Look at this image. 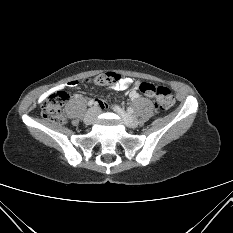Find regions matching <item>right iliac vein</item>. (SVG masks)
Here are the masks:
<instances>
[{"label": "right iliac vein", "mask_w": 233, "mask_h": 233, "mask_svg": "<svg viewBox=\"0 0 233 233\" xmlns=\"http://www.w3.org/2000/svg\"><path fill=\"white\" fill-rule=\"evenodd\" d=\"M99 113L98 107H92L90 108L84 117V123L87 125H90L94 122L95 118L97 117Z\"/></svg>", "instance_id": "63e3f726"}]
</instances>
